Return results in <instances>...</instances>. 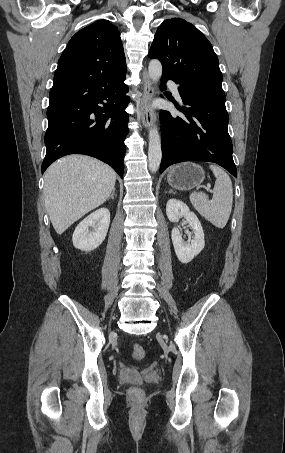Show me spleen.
I'll return each instance as SVG.
<instances>
[{"mask_svg":"<svg viewBox=\"0 0 285 453\" xmlns=\"http://www.w3.org/2000/svg\"><path fill=\"white\" fill-rule=\"evenodd\" d=\"M216 177L212 200L203 193L190 195L194 208L217 228H224L229 220L233 204L232 182L228 174L216 165H210Z\"/></svg>","mask_w":285,"mask_h":453,"instance_id":"obj_1","label":"spleen"}]
</instances>
